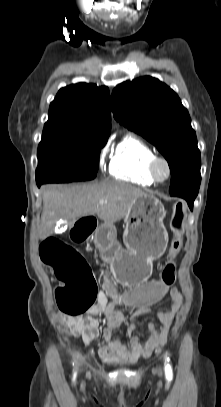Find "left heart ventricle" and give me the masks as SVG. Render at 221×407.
<instances>
[{
  "label": "left heart ventricle",
  "instance_id": "1",
  "mask_svg": "<svg viewBox=\"0 0 221 407\" xmlns=\"http://www.w3.org/2000/svg\"><path fill=\"white\" fill-rule=\"evenodd\" d=\"M158 174L161 178H164L166 176V168L163 164H160L158 166Z\"/></svg>",
  "mask_w": 221,
  "mask_h": 407
}]
</instances>
